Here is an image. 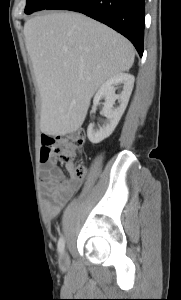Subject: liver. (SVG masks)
Segmentation results:
<instances>
[{
    "mask_svg": "<svg viewBox=\"0 0 181 300\" xmlns=\"http://www.w3.org/2000/svg\"><path fill=\"white\" fill-rule=\"evenodd\" d=\"M24 36L41 96L40 129L50 136L76 132L97 89L134 63L130 41L81 13L37 15Z\"/></svg>",
    "mask_w": 181,
    "mask_h": 300,
    "instance_id": "liver-1",
    "label": "liver"
}]
</instances>
